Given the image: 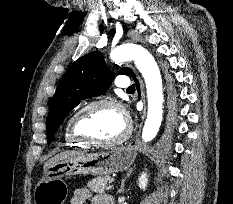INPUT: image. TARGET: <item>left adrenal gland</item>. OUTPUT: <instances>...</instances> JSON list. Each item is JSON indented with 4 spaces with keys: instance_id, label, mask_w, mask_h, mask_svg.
<instances>
[{
    "instance_id": "a2214340",
    "label": "left adrenal gland",
    "mask_w": 233,
    "mask_h": 204,
    "mask_svg": "<svg viewBox=\"0 0 233 204\" xmlns=\"http://www.w3.org/2000/svg\"><path fill=\"white\" fill-rule=\"evenodd\" d=\"M132 172H133V168H131V169L127 172L125 178L122 180V182H121V187H120V189L118 190V193H119V194L122 193V192H124L125 181H126L127 178L130 177V175L132 174Z\"/></svg>"
}]
</instances>
